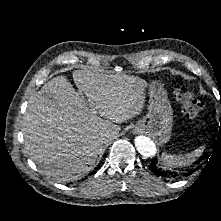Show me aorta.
Segmentation results:
<instances>
[{"mask_svg": "<svg viewBox=\"0 0 221 221\" xmlns=\"http://www.w3.org/2000/svg\"><path fill=\"white\" fill-rule=\"evenodd\" d=\"M134 144L137 151L144 157H154L156 154V145L146 136H137L134 139Z\"/></svg>", "mask_w": 221, "mask_h": 221, "instance_id": "obj_1", "label": "aorta"}]
</instances>
